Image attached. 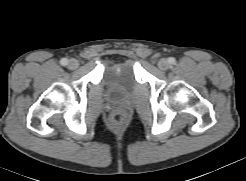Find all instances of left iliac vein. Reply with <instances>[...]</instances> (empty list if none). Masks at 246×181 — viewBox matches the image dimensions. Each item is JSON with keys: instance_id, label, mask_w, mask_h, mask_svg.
I'll list each match as a JSON object with an SVG mask.
<instances>
[{"instance_id": "left-iliac-vein-1", "label": "left iliac vein", "mask_w": 246, "mask_h": 181, "mask_svg": "<svg viewBox=\"0 0 246 181\" xmlns=\"http://www.w3.org/2000/svg\"><path fill=\"white\" fill-rule=\"evenodd\" d=\"M158 67L161 70H167L170 67V64L167 59H160L158 62Z\"/></svg>"}]
</instances>
